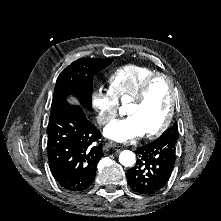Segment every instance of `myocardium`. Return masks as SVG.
<instances>
[{
    "instance_id": "f54148a6",
    "label": "myocardium",
    "mask_w": 221,
    "mask_h": 221,
    "mask_svg": "<svg viewBox=\"0 0 221 221\" xmlns=\"http://www.w3.org/2000/svg\"><path fill=\"white\" fill-rule=\"evenodd\" d=\"M158 80H165L167 82L169 91H170V103H169L167 115L164 121L162 122V124L154 131H151L144 135L148 139H154L160 136L161 134H163L172 121L174 111H175V106H176V92H175L174 84H173L171 77L163 73H157L148 77L130 101V104L132 105L137 106V105L142 104L144 100L146 99L151 86Z\"/></svg>"
}]
</instances>
